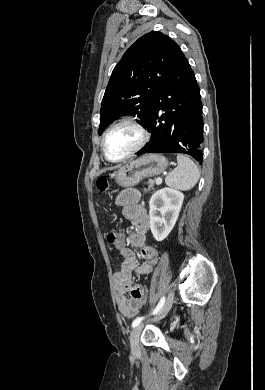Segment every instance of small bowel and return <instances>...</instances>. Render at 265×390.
Here are the masks:
<instances>
[{
    "mask_svg": "<svg viewBox=\"0 0 265 390\" xmlns=\"http://www.w3.org/2000/svg\"><path fill=\"white\" fill-rule=\"evenodd\" d=\"M138 200L139 193L134 189H126L117 197V203L123 207L124 216L132 221L134 226V231L128 237L117 232L118 241L115 246L121 256V269L113 276L116 301L120 313L126 318H133L138 314L142 304L139 293L146 289L142 285L134 284L133 274L150 273L158 261L156 248L146 240L150 226L149 216L146 209L138 204ZM127 244L138 249L142 264H138L134 252Z\"/></svg>",
    "mask_w": 265,
    "mask_h": 390,
    "instance_id": "1",
    "label": "small bowel"
}]
</instances>
